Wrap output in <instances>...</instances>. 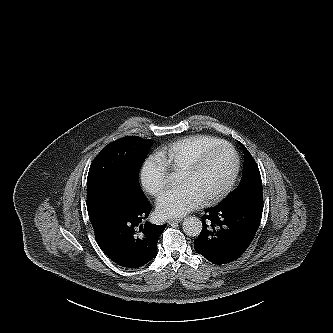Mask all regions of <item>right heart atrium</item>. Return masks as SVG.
Masks as SVG:
<instances>
[{
  "label": "right heart atrium",
  "instance_id": "d8ad5b80",
  "mask_svg": "<svg viewBox=\"0 0 333 333\" xmlns=\"http://www.w3.org/2000/svg\"><path fill=\"white\" fill-rule=\"evenodd\" d=\"M169 169L159 154L149 155L140 169V183L150 195H159L168 184Z\"/></svg>",
  "mask_w": 333,
  "mask_h": 333
}]
</instances>
